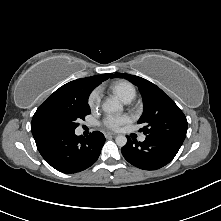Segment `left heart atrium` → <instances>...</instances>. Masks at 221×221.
<instances>
[{"label":"left heart atrium","mask_w":221,"mask_h":221,"mask_svg":"<svg viewBox=\"0 0 221 221\" xmlns=\"http://www.w3.org/2000/svg\"><path fill=\"white\" fill-rule=\"evenodd\" d=\"M128 121V117L121 115H109L104 119V125L110 129H118Z\"/></svg>","instance_id":"left-heart-atrium-1"}]
</instances>
